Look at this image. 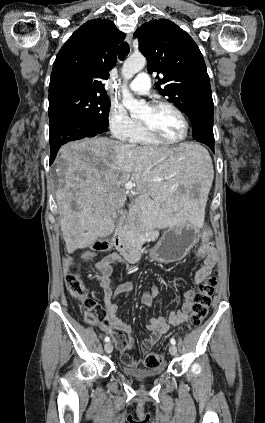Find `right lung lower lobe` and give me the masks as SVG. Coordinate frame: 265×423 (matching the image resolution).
Segmentation results:
<instances>
[{"instance_id": "1", "label": "right lung lower lobe", "mask_w": 265, "mask_h": 423, "mask_svg": "<svg viewBox=\"0 0 265 423\" xmlns=\"http://www.w3.org/2000/svg\"><path fill=\"white\" fill-rule=\"evenodd\" d=\"M50 119V164L61 145L85 137H94L107 128L76 114L60 113Z\"/></svg>"}]
</instances>
